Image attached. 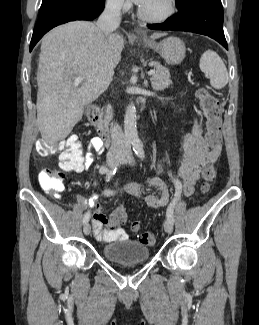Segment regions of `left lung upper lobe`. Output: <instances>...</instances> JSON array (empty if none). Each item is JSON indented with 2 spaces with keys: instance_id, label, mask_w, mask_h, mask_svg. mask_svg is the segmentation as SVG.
<instances>
[{
  "instance_id": "1",
  "label": "left lung upper lobe",
  "mask_w": 259,
  "mask_h": 325,
  "mask_svg": "<svg viewBox=\"0 0 259 325\" xmlns=\"http://www.w3.org/2000/svg\"><path fill=\"white\" fill-rule=\"evenodd\" d=\"M183 0H176V3H181Z\"/></svg>"
}]
</instances>
